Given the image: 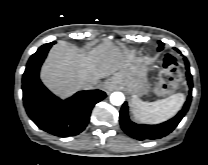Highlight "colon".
I'll return each instance as SVG.
<instances>
[{"instance_id": "1", "label": "colon", "mask_w": 208, "mask_h": 165, "mask_svg": "<svg viewBox=\"0 0 208 165\" xmlns=\"http://www.w3.org/2000/svg\"><path fill=\"white\" fill-rule=\"evenodd\" d=\"M180 77L181 75L177 59L173 55H165L161 62V70L156 86V92L158 94L172 92L180 80Z\"/></svg>"}]
</instances>
